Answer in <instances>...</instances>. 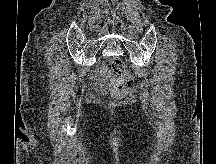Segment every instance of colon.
I'll return each mask as SVG.
<instances>
[{"instance_id": "colon-1", "label": "colon", "mask_w": 216, "mask_h": 164, "mask_svg": "<svg viewBox=\"0 0 216 164\" xmlns=\"http://www.w3.org/2000/svg\"><path fill=\"white\" fill-rule=\"evenodd\" d=\"M110 63L116 74V77L110 79V88L115 95L123 97L127 95L132 84V75L120 58H112Z\"/></svg>"}]
</instances>
